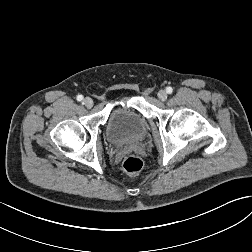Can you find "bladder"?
Wrapping results in <instances>:
<instances>
[{"mask_svg": "<svg viewBox=\"0 0 252 252\" xmlns=\"http://www.w3.org/2000/svg\"><path fill=\"white\" fill-rule=\"evenodd\" d=\"M146 133L147 122L138 112L123 106L112 108L106 124V137L111 143L138 142Z\"/></svg>", "mask_w": 252, "mask_h": 252, "instance_id": "bladder-1", "label": "bladder"}]
</instances>
